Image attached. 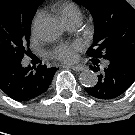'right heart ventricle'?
Returning a JSON list of instances; mask_svg holds the SVG:
<instances>
[{"instance_id": "e07e8e85", "label": "right heart ventricle", "mask_w": 135, "mask_h": 135, "mask_svg": "<svg viewBox=\"0 0 135 135\" xmlns=\"http://www.w3.org/2000/svg\"><path fill=\"white\" fill-rule=\"evenodd\" d=\"M55 9L63 22L73 18L80 19L81 17V9L74 2H64L56 6Z\"/></svg>"}]
</instances>
